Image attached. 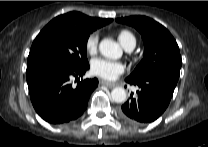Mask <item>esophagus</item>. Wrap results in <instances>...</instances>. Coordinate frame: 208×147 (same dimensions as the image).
<instances>
[{"instance_id":"esophagus-1","label":"esophagus","mask_w":208,"mask_h":147,"mask_svg":"<svg viewBox=\"0 0 208 147\" xmlns=\"http://www.w3.org/2000/svg\"><path fill=\"white\" fill-rule=\"evenodd\" d=\"M100 84L105 85V86L110 87V88H113V87L117 86L116 83L108 82V81H105V80H100Z\"/></svg>"}]
</instances>
